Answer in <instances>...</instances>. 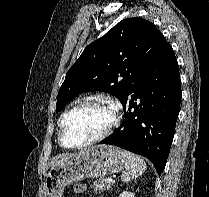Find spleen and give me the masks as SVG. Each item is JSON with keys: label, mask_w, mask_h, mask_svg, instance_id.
I'll return each instance as SVG.
<instances>
[{"label": "spleen", "mask_w": 209, "mask_h": 197, "mask_svg": "<svg viewBox=\"0 0 209 197\" xmlns=\"http://www.w3.org/2000/svg\"><path fill=\"white\" fill-rule=\"evenodd\" d=\"M121 154L125 160V170L121 175L123 182H129L136 179L146 170V163L136 154L125 150H121Z\"/></svg>", "instance_id": "3e777b00"}]
</instances>
